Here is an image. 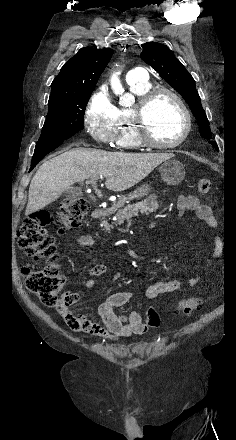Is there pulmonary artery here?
I'll use <instances>...</instances> for the list:
<instances>
[{
    "label": "pulmonary artery",
    "instance_id": "1",
    "mask_svg": "<svg viewBox=\"0 0 236 440\" xmlns=\"http://www.w3.org/2000/svg\"><path fill=\"white\" fill-rule=\"evenodd\" d=\"M148 80V73L142 67H135L127 74L128 82H139Z\"/></svg>",
    "mask_w": 236,
    "mask_h": 440
}]
</instances>
